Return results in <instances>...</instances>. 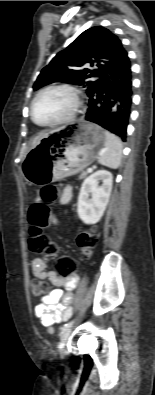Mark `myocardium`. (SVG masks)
I'll return each mask as SVG.
<instances>
[{
  "instance_id": "obj_1",
  "label": "myocardium",
  "mask_w": 155,
  "mask_h": 395,
  "mask_svg": "<svg viewBox=\"0 0 155 395\" xmlns=\"http://www.w3.org/2000/svg\"><path fill=\"white\" fill-rule=\"evenodd\" d=\"M54 90H62V91L69 93L73 99V104H72L70 110L68 111V113L66 115H64L63 117H61L60 119H58L54 122H51V123H46V124L38 123L34 118L35 103L43 94H45L49 91H54ZM80 107H81V98H80L79 91L75 87L68 85V84H52V85L42 88L41 90H39L36 93V95L33 97L32 101L30 103L29 113H30L31 120L35 125H37L39 127H43V128H52V127H57V126L71 122L77 116Z\"/></svg>"
}]
</instances>
